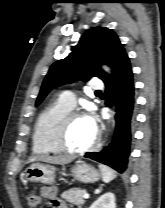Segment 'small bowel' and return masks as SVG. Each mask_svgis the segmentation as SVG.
I'll use <instances>...</instances> for the list:
<instances>
[{"mask_svg":"<svg viewBox=\"0 0 165 208\" xmlns=\"http://www.w3.org/2000/svg\"><path fill=\"white\" fill-rule=\"evenodd\" d=\"M41 195L50 201L51 208H68V206L57 197V188L55 187H42Z\"/></svg>","mask_w":165,"mask_h":208,"instance_id":"obj_1","label":"small bowel"}]
</instances>
